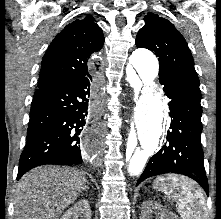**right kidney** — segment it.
Returning a JSON list of instances; mask_svg holds the SVG:
<instances>
[{
    "instance_id": "right-kidney-1",
    "label": "right kidney",
    "mask_w": 221,
    "mask_h": 219,
    "mask_svg": "<svg viewBox=\"0 0 221 219\" xmlns=\"http://www.w3.org/2000/svg\"><path fill=\"white\" fill-rule=\"evenodd\" d=\"M91 219V209L89 201L80 200L69 208L61 219Z\"/></svg>"
}]
</instances>
